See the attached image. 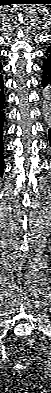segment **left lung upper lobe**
<instances>
[{
	"mask_svg": "<svg viewBox=\"0 0 51 393\" xmlns=\"http://www.w3.org/2000/svg\"><path fill=\"white\" fill-rule=\"evenodd\" d=\"M51 52V46L46 50V52Z\"/></svg>",
	"mask_w": 51,
	"mask_h": 393,
	"instance_id": "left-lung-upper-lobe-1",
	"label": "left lung upper lobe"
}]
</instances>
